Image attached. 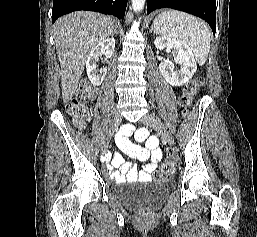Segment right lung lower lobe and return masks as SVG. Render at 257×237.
I'll list each match as a JSON object with an SVG mask.
<instances>
[{"label":"right lung lower lobe","instance_id":"right-lung-lower-lobe-1","mask_svg":"<svg viewBox=\"0 0 257 237\" xmlns=\"http://www.w3.org/2000/svg\"><path fill=\"white\" fill-rule=\"evenodd\" d=\"M127 0H54L52 9V23L60 16L73 11L87 10L103 14H111L123 19Z\"/></svg>","mask_w":257,"mask_h":237}]
</instances>
